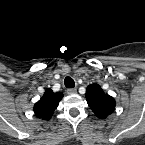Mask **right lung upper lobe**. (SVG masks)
Returning <instances> with one entry per match:
<instances>
[{"label":"right lung upper lobe","mask_w":145,"mask_h":145,"mask_svg":"<svg viewBox=\"0 0 145 145\" xmlns=\"http://www.w3.org/2000/svg\"><path fill=\"white\" fill-rule=\"evenodd\" d=\"M63 98L61 92L54 93L50 88L45 90L43 97L34 105V113L43 120H48Z\"/></svg>","instance_id":"cb5924a9"}]
</instances>
